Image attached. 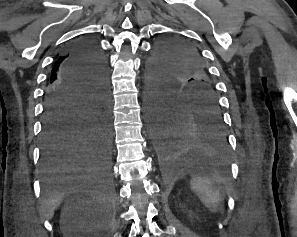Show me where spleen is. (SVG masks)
Masks as SVG:
<instances>
[{"label": "spleen", "instance_id": "3e777b00", "mask_svg": "<svg viewBox=\"0 0 297 237\" xmlns=\"http://www.w3.org/2000/svg\"><path fill=\"white\" fill-rule=\"evenodd\" d=\"M191 190L197 194L203 205L216 212L221 202L219 181L217 178L194 177L190 180Z\"/></svg>", "mask_w": 297, "mask_h": 237}]
</instances>
